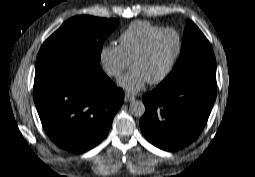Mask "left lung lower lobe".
Returning <instances> with one entry per match:
<instances>
[{"label": "left lung lower lobe", "instance_id": "left-lung-lower-lobe-1", "mask_svg": "<svg viewBox=\"0 0 255 177\" xmlns=\"http://www.w3.org/2000/svg\"><path fill=\"white\" fill-rule=\"evenodd\" d=\"M216 98V69H201L173 82L159 84L142 100L144 136L167 151L194 141L204 128Z\"/></svg>", "mask_w": 255, "mask_h": 177}]
</instances>
